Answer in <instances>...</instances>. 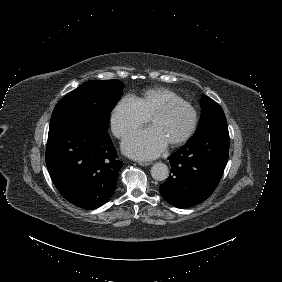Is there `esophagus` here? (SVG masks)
Instances as JSON below:
<instances>
[{"label":"esophagus","instance_id":"obj_1","mask_svg":"<svg viewBox=\"0 0 282 282\" xmlns=\"http://www.w3.org/2000/svg\"><path fill=\"white\" fill-rule=\"evenodd\" d=\"M138 164L141 166H149L151 163L145 161H138Z\"/></svg>","mask_w":282,"mask_h":282}]
</instances>
